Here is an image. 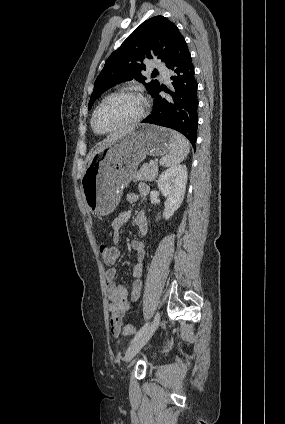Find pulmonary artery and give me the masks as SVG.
<instances>
[{
  "label": "pulmonary artery",
  "instance_id": "e3ab8cb5",
  "mask_svg": "<svg viewBox=\"0 0 285 424\" xmlns=\"http://www.w3.org/2000/svg\"><path fill=\"white\" fill-rule=\"evenodd\" d=\"M155 68L163 74V77L165 78V80H168L170 70L167 67L161 64H157Z\"/></svg>",
  "mask_w": 285,
  "mask_h": 424
}]
</instances>
